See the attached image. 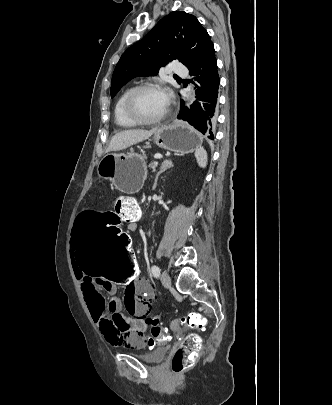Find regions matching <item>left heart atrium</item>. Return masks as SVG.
<instances>
[{
	"label": "left heart atrium",
	"mask_w": 332,
	"mask_h": 405,
	"mask_svg": "<svg viewBox=\"0 0 332 405\" xmlns=\"http://www.w3.org/2000/svg\"><path fill=\"white\" fill-rule=\"evenodd\" d=\"M162 92H163V95H164V98H165L167 104L169 105V103H170V93L167 92V91H162Z\"/></svg>",
	"instance_id": "39dd6f15"
}]
</instances>
